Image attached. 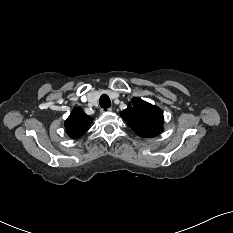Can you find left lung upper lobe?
I'll use <instances>...</instances> for the list:
<instances>
[{"label":"left lung upper lobe","mask_w":233,"mask_h":233,"mask_svg":"<svg viewBox=\"0 0 233 233\" xmlns=\"http://www.w3.org/2000/svg\"><path fill=\"white\" fill-rule=\"evenodd\" d=\"M121 118L141 137L150 138L163 131V112L156 106L139 98L132 99Z\"/></svg>","instance_id":"obj_1"}]
</instances>
